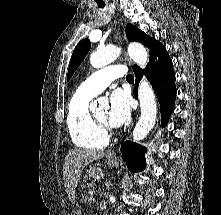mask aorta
<instances>
[{
    "label": "aorta",
    "instance_id": "1",
    "mask_svg": "<svg viewBox=\"0 0 221 215\" xmlns=\"http://www.w3.org/2000/svg\"><path fill=\"white\" fill-rule=\"evenodd\" d=\"M121 53V48L108 46L104 49L93 52L90 56V63L94 68H101L116 60ZM130 58L140 67H145L148 62V52L140 43H131L128 46ZM139 102L141 116L133 130V140L141 141L154 127L157 117V105L155 94L146 78H143L139 85ZM97 102H94V107Z\"/></svg>",
    "mask_w": 221,
    "mask_h": 215
}]
</instances>
